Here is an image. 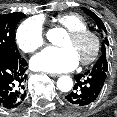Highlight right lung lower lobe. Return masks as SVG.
I'll list each match as a JSON object with an SVG mask.
<instances>
[{
    "instance_id": "right-lung-lower-lobe-1",
    "label": "right lung lower lobe",
    "mask_w": 117,
    "mask_h": 117,
    "mask_svg": "<svg viewBox=\"0 0 117 117\" xmlns=\"http://www.w3.org/2000/svg\"><path fill=\"white\" fill-rule=\"evenodd\" d=\"M26 66L20 55H0V109H14L23 103Z\"/></svg>"
}]
</instances>
